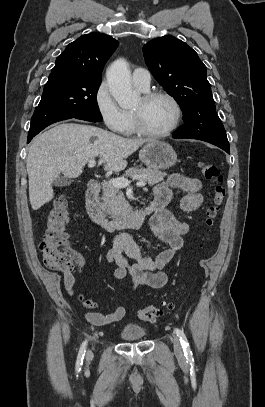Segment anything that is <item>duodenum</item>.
Segmentation results:
<instances>
[{
    "mask_svg": "<svg viewBox=\"0 0 265 407\" xmlns=\"http://www.w3.org/2000/svg\"><path fill=\"white\" fill-rule=\"evenodd\" d=\"M100 184L90 180L86 192V210L90 219L108 232H115L124 228H139L147 215L163 205L161 200H153L147 204L136 207L120 219H109L99 202Z\"/></svg>",
    "mask_w": 265,
    "mask_h": 407,
    "instance_id": "duodenum-1",
    "label": "duodenum"
}]
</instances>
